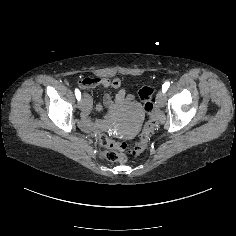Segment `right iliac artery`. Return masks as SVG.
Here are the masks:
<instances>
[{
    "mask_svg": "<svg viewBox=\"0 0 236 236\" xmlns=\"http://www.w3.org/2000/svg\"><path fill=\"white\" fill-rule=\"evenodd\" d=\"M75 95H76L77 100L81 99V92L78 89H75Z\"/></svg>",
    "mask_w": 236,
    "mask_h": 236,
    "instance_id": "82829eb1",
    "label": "right iliac artery"
}]
</instances>
